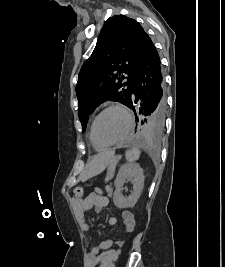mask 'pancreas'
I'll return each instance as SVG.
<instances>
[{
	"label": "pancreas",
	"instance_id": "pancreas-1",
	"mask_svg": "<svg viewBox=\"0 0 225 267\" xmlns=\"http://www.w3.org/2000/svg\"><path fill=\"white\" fill-rule=\"evenodd\" d=\"M116 164H117V160L113 159L110 161L109 165H108V169H107V176L105 178V182H109L115 173V168H116Z\"/></svg>",
	"mask_w": 225,
	"mask_h": 267
}]
</instances>
